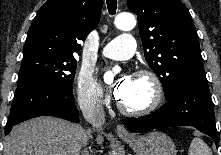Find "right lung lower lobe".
Listing matches in <instances>:
<instances>
[{
    "instance_id": "1",
    "label": "right lung lower lobe",
    "mask_w": 221,
    "mask_h": 155,
    "mask_svg": "<svg viewBox=\"0 0 221 155\" xmlns=\"http://www.w3.org/2000/svg\"><path fill=\"white\" fill-rule=\"evenodd\" d=\"M44 115L79 122L72 92L61 90L46 82L30 81L15 93L5 134L20 122Z\"/></svg>"
}]
</instances>
